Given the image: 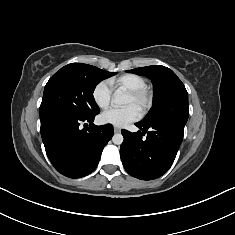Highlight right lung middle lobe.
<instances>
[{
    "label": "right lung middle lobe",
    "mask_w": 235,
    "mask_h": 235,
    "mask_svg": "<svg viewBox=\"0 0 235 235\" xmlns=\"http://www.w3.org/2000/svg\"><path fill=\"white\" fill-rule=\"evenodd\" d=\"M116 72L82 63L62 67L47 82L40 105V116L62 114L85 118L100 112L93 92L96 85Z\"/></svg>",
    "instance_id": "1"
}]
</instances>
